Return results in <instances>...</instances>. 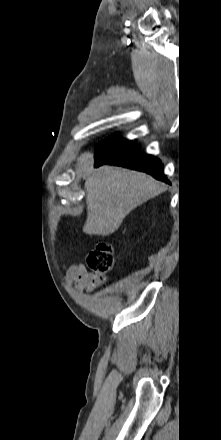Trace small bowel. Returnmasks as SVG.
<instances>
[{"label":"small bowel","mask_w":221,"mask_h":440,"mask_svg":"<svg viewBox=\"0 0 221 440\" xmlns=\"http://www.w3.org/2000/svg\"><path fill=\"white\" fill-rule=\"evenodd\" d=\"M65 284L74 285L75 289L82 293L84 290L94 293L100 286L99 279L92 273L88 272L86 267L81 263H71L64 266Z\"/></svg>","instance_id":"obj_1"}]
</instances>
